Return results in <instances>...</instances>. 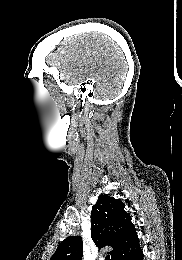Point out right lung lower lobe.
<instances>
[{
    "mask_svg": "<svg viewBox=\"0 0 182 260\" xmlns=\"http://www.w3.org/2000/svg\"><path fill=\"white\" fill-rule=\"evenodd\" d=\"M114 260H143V252L139 246V239L126 250L122 251Z\"/></svg>",
    "mask_w": 182,
    "mask_h": 260,
    "instance_id": "obj_1",
    "label": "right lung lower lobe"
}]
</instances>
